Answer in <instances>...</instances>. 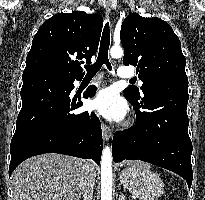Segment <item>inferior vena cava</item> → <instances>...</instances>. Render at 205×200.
Instances as JSON below:
<instances>
[{
  "mask_svg": "<svg viewBox=\"0 0 205 200\" xmlns=\"http://www.w3.org/2000/svg\"><path fill=\"white\" fill-rule=\"evenodd\" d=\"M94 185L95 172L93 162L84 160L80 171V186L83 193V200H93Z\"/></svg>",
  "mask_w": 205,
  "mask_h": 200,
  "instance_id": "obj_1",
  "label": "inferior vena cava"
}]
</instances>
